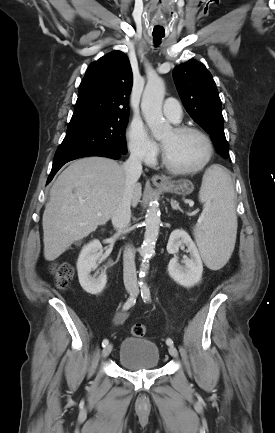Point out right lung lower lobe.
<instances>
[{
	"mask_svg": "<svg viewBox=\"0 0 275 433\" xmlns=\"http://www.w3.org/2000/svg\"><path fill=\"white\" fill-rule=\"evenodd\" d=\"M121 154L122 153L115 151V150H111V149H96V150H91V151L69 153V154H63V155L55 156L54 160H53L52 170H51V173H50L48 180H47V184L51 182V180L53 179V177L57 173V171L65 163H67L71 160L82 158V157H87V156H103V157H109L112 159H119V158H121Z\"/></svg>",
	"mask_w": 275,
	"mask_h": 433,
	"instance_id": "obj_1",
	"label": "right lung lower lobe"
}]
</instances>
